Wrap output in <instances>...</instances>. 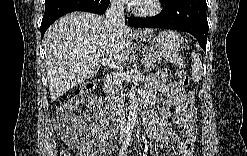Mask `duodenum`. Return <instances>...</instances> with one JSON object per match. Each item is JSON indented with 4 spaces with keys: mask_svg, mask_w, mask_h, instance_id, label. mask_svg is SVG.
<instances>
[{
    "mask_svg": "<svg viewBox=\"0 0 247 156\" xmlns=\"http://www.w3.org/2000/svg\"><path fill=\"white\" fill-rule=\"evenodd\" d=\"M104 90L106 92V94L108 96H110L109 99V109L112 111V113H114L115 115L118 114V110H119V106H120V102H119V98L118 97H114L115 95H113V89H112V81L110 78H106L104 81ZM139 117L142 120H149L152 117V113L151 110L145 106L139 109L138 111Z\"/></svg>",
    "mask_w": 247,
    "mask_h": 156,
    "instance_id": "1",
    "label": "duodenum"
}]
</instances>
